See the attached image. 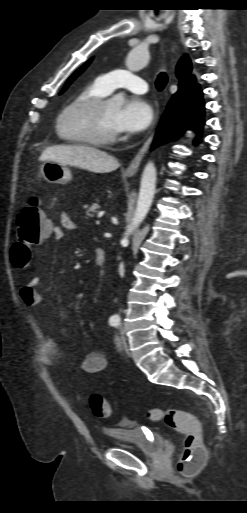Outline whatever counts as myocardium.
<instances>
[{"label":"myocardium","mask_w":247,"mask_h":513,"mask_svg":"<svg viewBox=\"0 0 247 513\" xmlns=\"http://www.w3.org/2000/svg\"><path fill=\"white\" fill-rule=\"evenodd\" d=\"M110 101L107 97H89L65 107L58 118L60 129L70 138L81 143L106 146L112 145L118 139L116 134H102L96 131L95 124L98 118ZM77 117L80 125L71 129L68 122L70 117Z\"/></svg>","instance_id":"myocardium-1"}]
</instances>
